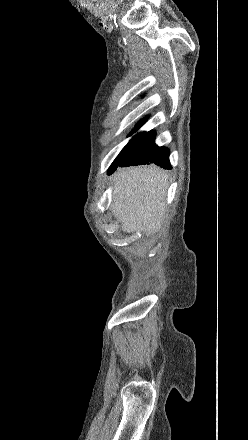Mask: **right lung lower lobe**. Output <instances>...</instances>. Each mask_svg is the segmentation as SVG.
<instances>
[{
    "instance_id": "1",
    "label": "right lung lower lobe",
    "mask_w": 248,
    "mask_h": 440,
    "mask_svg": "<svg viewBox=\"0 0 248 440\" xmlns=\"http://www.w3.org/2000/svg\"><path fill=\"white\" fill-rule=\"evenodd\" d=\"M155 132H141L135 135L125 148L120 167L156 164L164 169H171L169 150L158 147L155 143Z\"/></svg>"
}]
</instances>
